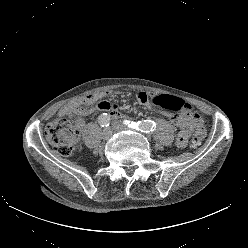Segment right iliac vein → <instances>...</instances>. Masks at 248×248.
Here are the masks:
<instances>
[{"instance_id":"1","label":"right iliac vein","mask_w":248,"mask_h":248,"mask_svg":"<svg viewBox=\"0 0 248 248\" xmlns=\"http://www.w3.org/2000/svg\"><path fill=\"white\" fill-rule=\"evenodd\" d=\"M113 134V131L111 128H105L102 133L103 139L107 140L109 139Z\"/></svg>"}]
</instances>
